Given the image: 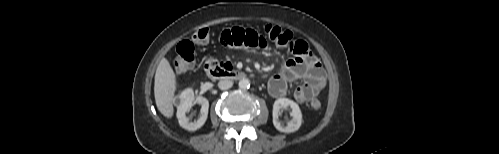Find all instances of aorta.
Segmentation results:
<instances>
[{
    "mask_svg": "<svg viewBox=\"0 0 499 154\" xmlns=\"http://www.w3.org/2000/svg\"><path fill=\"white\" fill-rule=\"evenodd\" d=\"M238 86L240 89H248L250 87V81L247 78H243L239 81Z\"/></svg>",
    "mask_w": 499,
    "mask_h": 154,
    "instance_id": "762f6f07",
    "label": "aorta"
}]
</instances>
